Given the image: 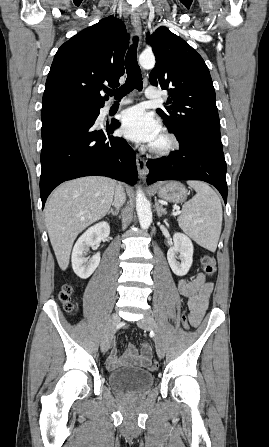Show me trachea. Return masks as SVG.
Instances as JSON below:
<instances>
[{
  "mask_svg": "<svg viewBox=\"0 0 269 447\" xmlns=\"http://www.w3.org/2000/svg\"><path fill=\"white\" fill-rule=\"evenodd\" d=\"M134 44L128 50L125 59V67L127 71V79L122 87L116 90H107L108 95H114V97L120 100L122 97L130 93L134 88L141 91L143 88L141 70L137 62V37H134Z\"/></svg>",
  "mask_w": 269,
  "mask_h": 447,
  "instance_id": "obj_1",
  "label": "trachea"
}]
</instances>
